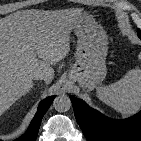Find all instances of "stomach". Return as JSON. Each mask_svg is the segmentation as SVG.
Returning a JSON list of instances; mask_svg holds the SVG:
<instances>
[{"instance_id": "stomach-1", "label": "stomach", "mask_w": 141, "mask_h": 141, "mask_svg": "<svg viewBox=\"0 0 141 141\" xmlns=\"http://www.w3.org/2000/svg\"><path fill=\"white\" fill-rule=\"evenodd\" d=\"M77 36L76 62L68 77L84 91H92L106 77L107 35L102 26L88 14L82 13L74 26Z\"/></svg>"}]
</instances>
